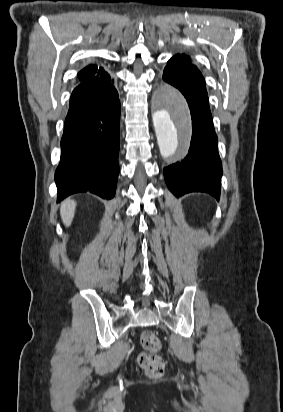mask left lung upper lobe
<instances>
[{
  "instance_id": "obj_1",
  "label": "left lung upper lobe",
  "mask_w": 283,
  "mask_h": 412,
  "mask_svg": "<svg viewBox=\"0 0 283 412\" xmlns=\"http://www.w3.org/2000/svg\"><path fill=\"white\" fill-rule=\"evenodd\" d=\"M192 74L203 77L200 71L188 61V57L183 55H176L172 57L164 69L163 75Z\"/></svg>"
}]
</instances>
